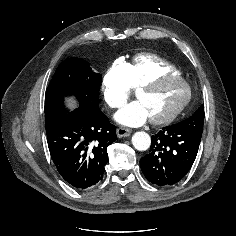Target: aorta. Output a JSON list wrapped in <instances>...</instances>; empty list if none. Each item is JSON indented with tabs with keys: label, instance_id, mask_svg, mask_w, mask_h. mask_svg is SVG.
Segmentation results:
<instances>
[{
	"label": "aorta",
	"instance_id": "762f6f07",
	"mask_svg": "<svg viewBox=\"0 0 236 236\" xmlns=\"http://www.w3.org/2000/svg\"><path fill=\"white\" fill-rule=\"evenodd\" d=\"M132 144L136 150L145 151L150 147L151 138L148 133L138 131L132 136Z\"/></svg>",
	"mask_w": 236,
	"mask_h": 236
}]
</instances>
